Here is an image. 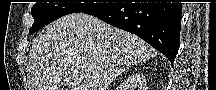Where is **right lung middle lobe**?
<instances>
[{
    "label": "right lung middle lobe",
    "mask_w": 216,
    "mask_h": 90,
    "mask_svg": "<svg viewBox=\"0 0 216 90\" xmlns=\"http://www.w3.org/2000/svg\"><path fill=\"white\" fill-rule=\"evenodd\" d=\"M108 3H36L31 9L34 23L29 34L38 31L44 25L71 13H86L92 9L102 7Z\"/></svg>",
    "instance_id": "1"
}]
</instances>
